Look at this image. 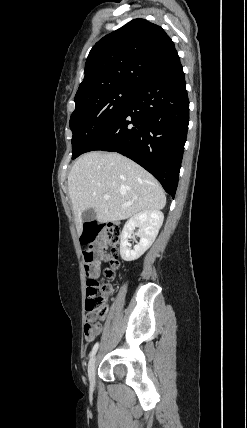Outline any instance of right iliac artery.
Listing matches in <instances>:
<instances>
[{
  "label": "right iliac artery",
  "mask_w": 247,
  "mask_h": 428,
  "mask_svg": "<svg viewBox=\"0 0 247 428\" xmlns=\"http://www.w3.org/2000/svg\"><path fill=\"white\" fill-rule=\"evenodd\" d=\"M98 347H99V343L97 342V343L94 345V347L92 348V351L90 352V357H93V356L96 354V352H97V350H98Z\"/></svg>",
  "instance_id": "1"
}]
</instances>
